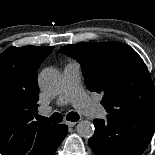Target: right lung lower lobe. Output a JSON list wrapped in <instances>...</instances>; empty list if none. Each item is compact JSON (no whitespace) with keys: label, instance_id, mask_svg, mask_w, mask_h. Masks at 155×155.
I'll return each mask as SVG.
<instances>
[{"label":"right lung lower lobe","instance_id":"1","mask_svg":"<svg viewBox=\"0 0 155 155\" xmlns=\"http://www.w3.org/2000/svg\"><path fill=\"white\" fill-rule=\"evenodd\" d=\"M59 132H60L59 140L57 141L56 145L51 149V151L49 152L48 155H52L56 151L57 147L61 144V142L63 141V139L67 135L68 127L66 125L60 124L59 125Z\"/></svg>","mask_w":155,"mask_h":155}]
</instances>
